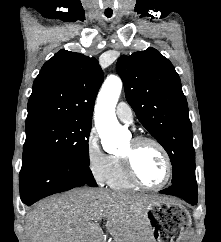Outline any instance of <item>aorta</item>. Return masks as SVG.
<instances>
[{
  "label": "aorta",
  "instance_id": "1",
  "mask_svg": "<svg viewBox=\"0 0 221 242\" xmlns=\"http://www.w3.org/2000/svg\"><path fill=\"white\" fill-rule=\"evenodd\" d=\"M122 90L118 76L107 77L98 94L95 107V125L107 152H115L125 141V129L119 124L115 108Z\"/></svg>",
  "mask_w": 221,
  "mask_h": 242
}]
</instances>
